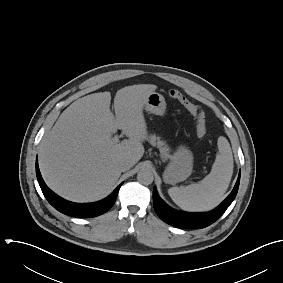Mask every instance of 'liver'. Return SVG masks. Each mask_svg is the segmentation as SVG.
<instances>
[{"label": "liver", "instance_id": "6515ba94", "mask_svg": "<svg viewBox=\"0 0 283 283\" xmlns=\"http://www.w3.org/2000/svg\"><path fill=\"white\" fill-rule=\"evenodd\" d=\"M153 84L126 86L116 92L115 116L110 92L93 93L66 108L39 148V167L46 184L74 202H93L112 190L121 171L118 163L134 166L143 156L147 125L143 108ZM117 129L129 139L112 138Z\"/></svg>", "mask_w": 283, "mask_h": 283}]
</instances>
